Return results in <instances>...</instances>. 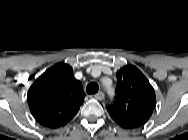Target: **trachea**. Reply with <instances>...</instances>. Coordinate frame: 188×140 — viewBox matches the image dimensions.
Here are the masks:
<instances>
[{"label":"trachea","instance_id":"1","mask_svg":"<svg viewBox=\"0 0 188 140\" xmlns=\"http://www.w3.org/2000/svg\"><path fill=\"white\" fill-rule=\"evenodd\" d=\"M98 89V85L94 82L89 83L86 87V91L88 94H95L98 92Z\"/></svg>","mask_w":188,"mask_h":140}]
</instances>
